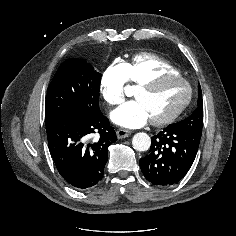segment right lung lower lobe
<instances>
[{
    "label": "right lung lower lobe",
    "instance_id": "1",
    "mask_svg": "<svg viewBox=\"0 0 236 236\" xmlns=\"http://www.w3.org/2000/svg\"><path fill=\"white\" fill-rule=\"evenodd\" d=\"M51 157L60 175L74 188L90 189L103 177L108 147L117 140L100 109L77 113L46 125ZM98 136L89 142V137Z\"/></svg>",
    "mask_w": 236,
    "mask_h": 236
}]
</instances>
